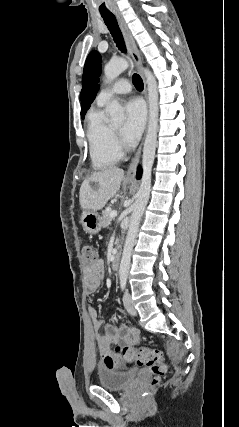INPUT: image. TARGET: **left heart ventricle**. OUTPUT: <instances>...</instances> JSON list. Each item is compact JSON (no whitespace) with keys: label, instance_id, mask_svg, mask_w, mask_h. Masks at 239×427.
Returning a JSON list of instances; mask_svg holds the SVG:
<instances>
[{"label":"left heart ventricle","instance_id":"obj_1","mask_svg":"<svg viewBox=\"0 0 239 427\" xmlns=\"http://www.w3.org/2000/svg\"><path fill=\"white\" fill-rule=\"evenodd\" d=\"M116 129H120V126H116Z\"/></svg>","mask_w":239,"mask_h":427}]
</instances>
